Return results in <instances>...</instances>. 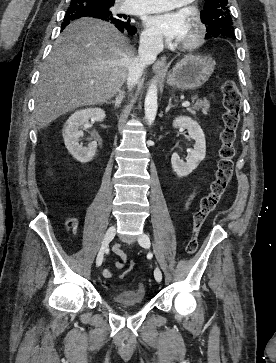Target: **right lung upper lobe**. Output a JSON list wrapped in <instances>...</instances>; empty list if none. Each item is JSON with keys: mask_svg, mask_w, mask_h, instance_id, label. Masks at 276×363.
I'll list each match as a JSON object with an SVG mask.
<instances>
[{"mask_svg": "<svg viewBox=\"0 0 276 363\" xmlns=\"http://www.w3.org/2000/svg\"><path fill=\"white\" fill-rule=\"evenodd\" d=\"M98 1H101V2H106V3H113L114 4V2H115V0H98ZM122 16V15H121ZM122 18V17H121ZM124 19H127V17H124ZM123 18L122 19H111V21L112 20H115V21H117V22H127V21H125ZM108 20H110V19H108Z\"/></svg>", "mask_w": 276, "mask_h": 363, "instance_id": "cb5924a9", "label": "right lung upper lobe"}]
</instances>
